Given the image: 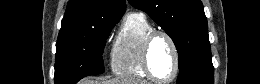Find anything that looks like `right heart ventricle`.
<instances>
[{
  "label": "right heart ventricle",
  "mask_w": 260,
  "mask_h": 84,
  "mask_svg": "<svg viewBox=\"0 0 260 84\" xmlns=\"http://www.w3.org/2000/svg\"><path fill=\"white\" fill-rule=\"evenodd\" d=\"M152 29L143 13L132 12L126 16L110 55V65L115 75L130 79L148 78L142 66V44Z\"/></svg>",
  "instance_id": "obj_1"
}]
</instances>
